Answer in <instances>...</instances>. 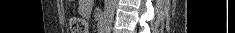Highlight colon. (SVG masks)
I'll return each instance as SVG.
<instances>
[{
	"label": "colon",
	"mask_w": 235,
	"mask_h": 33,
	"mask_svg": "<svg viewBox=\"0 0 235 33\" xmlns=\"http://www.w3.org/2000/svg\"><path fill=\"white\" fill-rule=\"evenodd\" d=\"M70 29L72 33H88V24L84 19L74 18L70 22Z\"/></svg>",
	"instance_id": "colon-1"
}]
</instances>
